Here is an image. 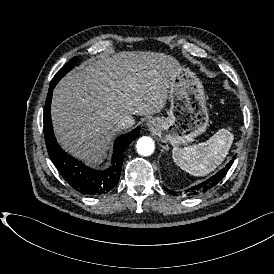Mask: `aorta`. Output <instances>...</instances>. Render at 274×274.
<instances>
[{
	"label": "aorta",
	"mask_w": 274,
	"mask_h": 274,
	"mask_svg": "<svg viewBox=\"0 0 274 274\" xmlns=\"http://www.w3.org/2000/svg\"><path fill=\"white\" fill-rule=\"evenodd\" d=\"M154 148V141L152 138L147 136L139 138L136 144L137 152L143 156L151 155L154 151Z\"/></svg>",
	"instance_id": "1"
}]
</instances>
